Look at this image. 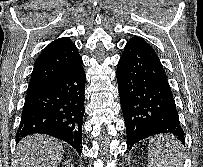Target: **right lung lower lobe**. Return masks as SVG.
<instances>
[{
    "label": "right lung lower lobe",
    "instance_id": "right-lung-lower-lobe-1",
    "mask_svg": "<svg viewBox=\"0 0 203 167\" xmlns=\"http://www.w3.org/2000/svg\"><path fill=\"white\" fill-rule=\"evenodd\" d=\"M85 72L82 58L44 87L27 91L16 143L35 134H47L69 143L81 153Z\"/></svg>",
    "mask_w": 203,
    "mask_h": 167
}]
</instances>
